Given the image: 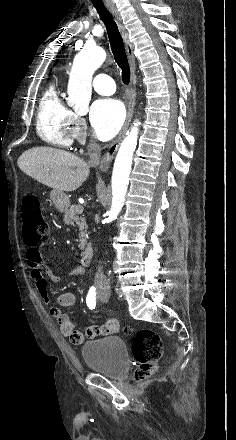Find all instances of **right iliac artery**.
Listing matches in <instances>:
<instances>
[{
  "label": "right iliac artery",
  "mask_w": 236,
  "mask_h": 440,
  "mask_svg": "<svg viewBox=\"0 0 236 440\" xmlns=\"http://www.w3.org/2000/svg\"><path fill=\"white\" fill-rule=\"evenodd\" d=\"M86 303L89 309H95L96 306V288L91 287L86 297Z\"/></svg>",
  "instance_id": "1"
}]
</instances>
